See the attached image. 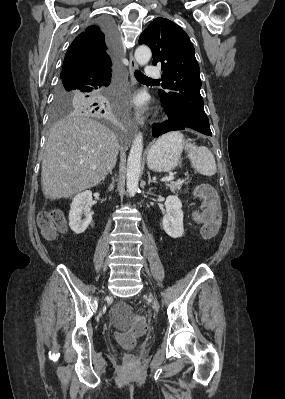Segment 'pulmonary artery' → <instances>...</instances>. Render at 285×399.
Returning <instances> with one entry per match:
<instances>
[{"mask_svg":"<svg viewBox=\"0 0 285 399\" xmlns=\"http://www.w3.org/2000/svg\"><path fill=\"white\" fill-rule=\"evenodd\" d=\"M145 76L151 79H159L161 77L160 71L152 66V65H147L146 66V71H145Z\"/></svg>","mask_w":285,"mask_h":399,"instance_id":"pulmonary-artery-1","label":"pulmonary artery"}]
</instances>
